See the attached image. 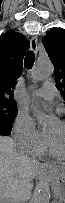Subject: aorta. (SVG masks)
Listing matches in <instances>:
<instances>
[{
  "instance_id": "1",
  "label": "aorta",
  "mask_w": 65,
  "mask_h": 203,
  "mask_svg": "<svg viewBox=\"0 0 65 203\" xmlns=\"http://www.w3.org/2000/svg\"><path fill=\"white\" fill-rule=\"evenodd\" d=\"M54 73V66L49 59L39 60L31 72L32 79L34 81H42ZM32 110L34 116L38 120L39 124L46 125L50 116L41 108L39 103L36 100L32 101ZM51 192H50V183L47 179H42L35 191L33 198V203H50Z\"/></svg>"
}]
</instances>
